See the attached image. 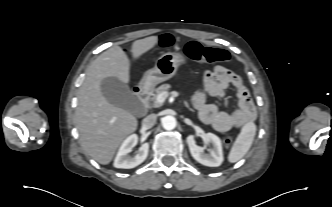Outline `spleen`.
I'll return each instance as SVG.
<instances>
[{"instance_id": "obj_1", "label": "spleen", "mask_w": 332, "mask_h": 207, "mask_svg": "<svg viewBox=\"0 0 332 207\" xmlns=\"http://www.w3.org/2000/svg\"><path fill=\"white\" fill-rule=\"evenodd\" d=\"M255 134L256 125L253 122H248L242 127L228 155L230 163L239 161L249 151Z\"/></svg>"}]
</instances>
